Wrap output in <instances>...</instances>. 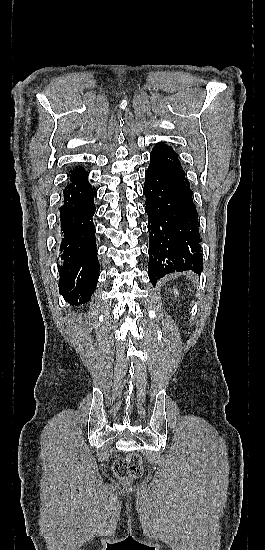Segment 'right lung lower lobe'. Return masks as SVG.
Returning <instances> with one entry per match:
<instances>
[{
  "label": "right lung lower lobe",
  "mask_w": 265,
  "mask_h": 550,
  "mask_svg": "<svg viewBox=\"0 0 265 550\" xmlns=\"http://www.w3.org/2000/svg\"><path fill=\"white\" fill-rule=\"evenodd\" d=\"M94 197H97V190L89 183L88 173L82 167L73 168L60 208V256L63 265L59 270V292L73 303L87 302L99 277L92 220L95 213Z\"/></svg>",
  "instance_id": "obj_1"
}]
</instances>
